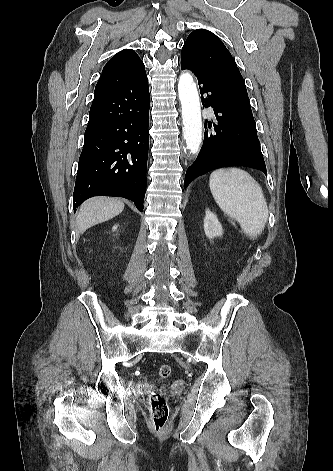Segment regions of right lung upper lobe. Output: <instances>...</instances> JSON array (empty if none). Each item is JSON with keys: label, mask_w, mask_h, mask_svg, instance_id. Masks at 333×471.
<instances>
[{"label": "right lung upper lobe", "mask_w": 333, "mask_h": 471, "mask_svg": "<svg viewBox=\"0 0 333 471\" xmlns=\"http://www.w3.org/2000/svg\"><path fill=\"white\" fill-rule=\"evenodd\" d=\"M145 74V67L139 56L131 49H124L114 55L103 68L95 87V97L125 89Z\"/></svg>", "instance_id": "cb5924a9"}]
</instances>
